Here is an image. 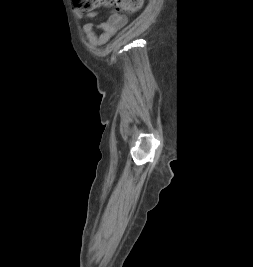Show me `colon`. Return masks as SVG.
<instances>
[{
    "mask_svg": "<svg viewBox=\"0 0 253 267\" xmlns=\"http://www.w3.org/2000/svg\"><path fill=\"white\" fill-rule=\"evenodd\" d=\"M72 5L83 12L100 7H111L118 12H134L142 6V0H72Z\"/></svg>",
    "mask_w": 253,
    "mask_h": 267,
    "instance_id": "colon-1",
    "label": "colon"
}]
</instances>
